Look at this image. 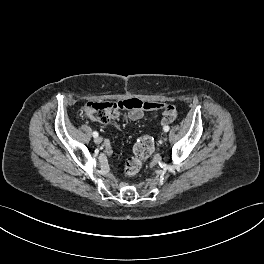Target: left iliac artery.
I'll use <instances>...</instances> for the list:
<instances>
[{"label": "left iliac artery", "instance_id": "obj_1", "mask_svg": "<svg viewBox=\"0 0 264 264\" xmlns=\"http://www.w3.org/2000/svg\"><path fill=\"white\" fill-rule=\"evenodd\" d=\"M169 129H170L169 126H164V127H163V130H164L165 132H168Z\"/></svg>", "mask_w": 264, "mask_h": 264}]
</instances>
